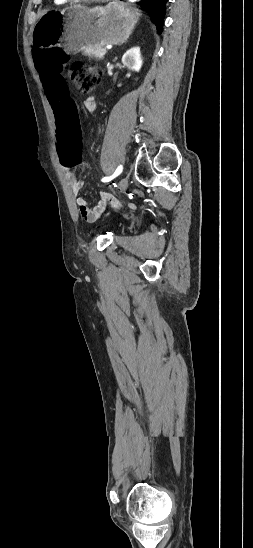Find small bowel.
<instances>
[{"label":"small bowel","mask_w":253,"mask_h":548,"mask_svg":"<svg viewBox=\"0 0 253 548\" xmlns=\"http://www.w3.org/2000/svg\"><path fill=\"white\" fill-rule=\"evenodd\" d=\"M50 60H65V58L64 57H54ZM46 98H47V96H46ZM83 105H84V108L88 111L94 110L95 106H96L95 100H94L93 97L87 98L84 101ZM50 106L52 108L53 105H50ZM71 167L72 166L66 165V166H62V169L65 173L66 180H67V182H68V184L71 188L72 193L76 196V204L78 206L80 215L86 221H93L103 212L104 204H103V202H99V203H97L96 206L91 208V207L88 206L86 200L79 196V193H80V191L83 187V182L76 178L74 173L71 171ZM108 200L110 201V203L112 204L113 207H115V208H121L122 207V202L119 199H117L115 197H109ZM133 207H134L133 204H129V208H133Z\"/></svg>","instance_id":"c3829d8e"}]
</instances>
